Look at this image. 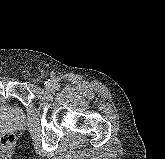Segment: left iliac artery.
Returning <instances> with one entry per match:
<instances>
[{"instance_id":"1","label":"left iliac artery","mask_w":165,"mask_h":159,"mask_svg":"<svg viewBox=\"0 0 165 159\" xmlns=\"http://www.w3.org/2000/svg\"><path fill=\"white\" fill-rule=\"evenodd\" d=\"M54 88L59 89L58 84H55V85H54Z\"/></svg>"}]
</instances>
